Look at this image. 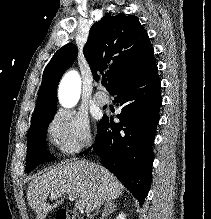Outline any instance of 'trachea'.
I'll return each mask as SVG.
<instances>
[{
  "instance_id": "3493384b",
  "label": "trachea",
  "mask_w": 211,
  "mask_h": 219,
  "mask_svg": "<svg viewBox=\"0 0 211 219\" xmlns=\"http://www.w3.org/2000/svg\"><path fill=\"white\" fill-rule=\"evenodd\" d=\"M102 85L106 86L107 85V81L106 80H102Z\"/></svg>"
}]
</instances>
